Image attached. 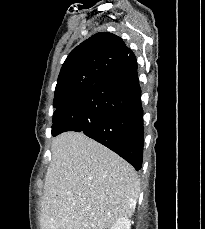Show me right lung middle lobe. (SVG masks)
<instances>
[{
  "label": "right lung middle lobe",
  "mask_w": 205,
  "mask_h": 229,
  "mask_svg": "<svg viewBox=\"0 0 205 229\" xmlns=\"http://www.w3.org/2000/svg\"><path fill=\"white\" fill-rule=\"evenodd\" d=\"M73 98H67V99L62 100L61 103H60V106L59 107H54V108H56V109L61 108L62 106H64L66 103H68Z\"/></svg>",
  "instance_id": "obj_1"
}]
</instances>
